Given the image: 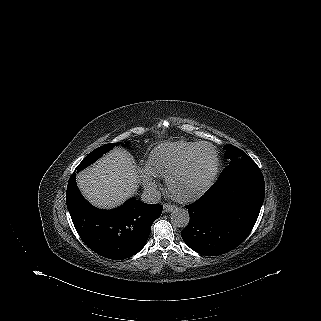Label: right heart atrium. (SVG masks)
Returning a JSON list of instances; mask_svg holds the SVG:
<instances>
[{"instance_id":"1","label":"right heart atrium","mask_w":321,"mask_h":321,"mask_svg":"<svg viewBox=\"0 0 321 321\" xmlns=\"http://www.w3.org/2000/svg\"><path fill=\"white\" fill-rule=\"evenodd\" d=\"M139 172L142 176L143 179V184L145 185L146 188L148 189H154L156 188V182H155V178L154 175H152L150 173V171L148 170L147 166H141L139 169Z\"/></svg>"}]
</instances>
